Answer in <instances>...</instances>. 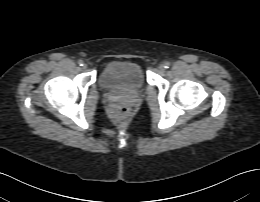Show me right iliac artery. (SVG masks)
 <instances>
[{"label": "right iliac artery", "mask_w": 260, "mask_h": 202, "mask_svg": "<svg viewBox=\"0 0 260 202\" xmlns=\"http://www.w3.org/2000/svg\"><path fill=\"white\" fill-rule=\"evenodd\" d=\"M78 64H79V66H83V61H82V60H79V61H78Z\"/></svg>", "instance_id": "obj_1"}]
</instances>
